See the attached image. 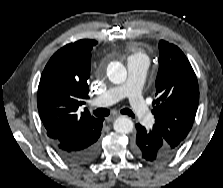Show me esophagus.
Wrapping results in <instances>:
<instances>
[{
  "instance_id": "esophagus-1",
  "label": "esophagus",
  "mask_w": 223,
  "mask_h": 188,
  "mask_svg": "<svg viewBox=\"0 0 223 188\" xmlns=\"http://www.w3.org/2000/svg\"><path fill=\"white\" fill-rule=\"evenodd\" d=\"M118 116H120L119 114H115V115H113V116H110V117H108V118H106V121L107 122H112L116 117H118Z\"/></svg>"
}]
</instances>
